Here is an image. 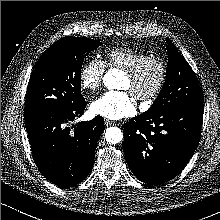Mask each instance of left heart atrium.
<instances>
[{
	"mask_svg": "<svg viewBox=\"0 0 220 220\" xmlns=\"http://www.w3.org/2000/svg\"><path fill=\"white\" fill-rule=\"evenodd\" d=\"M136 110L135 98L126 90L106 92L90 104L92 114L111 120L133 116Z\"/></svg>",
	"mask_w": 220,
	"mask_h": 220,
	"instance_id": "39dd6f15",
	"label": "left heart atrium"
}]
</instances>
